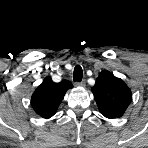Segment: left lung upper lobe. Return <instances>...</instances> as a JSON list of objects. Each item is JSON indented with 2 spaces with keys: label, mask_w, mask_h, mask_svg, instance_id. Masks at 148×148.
Returning a JSON list of instances; mask_svg holds the SVG:
<instances>
[{
  "label": "left lung upper lobe",
  "mask_w": 148,
  "mask_h": 148,
  "mask_svg": "<svg viewBox=\"0 0 148 148\" xmlns=\"http://www.w3.org/2000/svg\"><path fill=\"white\" fill-rule=\"evenodd\" d=\"M92 91L100 113L109 119L121 117L131 102L129 87L107 70L99 74Z\"/></svg>",
  "instance_id": "5c2ea615"
}]
</instances>
